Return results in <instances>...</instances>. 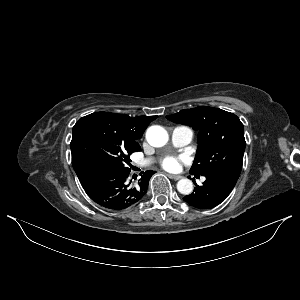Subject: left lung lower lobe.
Returning <instances> with one entry per match:
<instances>
[{
  "label": "left lung lower lobe",
  "mask_w": 300,
  "mask_h": 300,
  "mask_svg": "<svg viewBox=\"0 0 300 300\" xmlns=\"http://www.w3.org/2000/svg\"><path fill=\"white\" fill-rule=\"evenodd\" d=\"M204 176L206 180L203 185L198 186L194 181L196 185L194 192L183 199L196 208L212 209L228 197L237 179L222 173H210Z\"/></svg>",
  "instance_id": "obj_1"
}]
</instances>
